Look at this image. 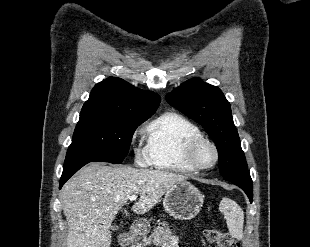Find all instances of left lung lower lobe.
Wrapping results in <instances>:
<instances>
[{
	"mask_svg": "<svg viewBox=\"0 0 310 247\" xmlns=\"http://www.w3.org/2000/svg\"><path fill=\"white\" fill-rule=\"evenodd\" d=\"M224 180L230 181L240 187L247 194L252 203L253 183L249 171L237 176H224Z\"/></svg>",
	"mask_w": 310,
	"mask_h": 247,
	"instance_id": "0a47b994",
	"label": "left lung lower lobe"
}]
</instances>
